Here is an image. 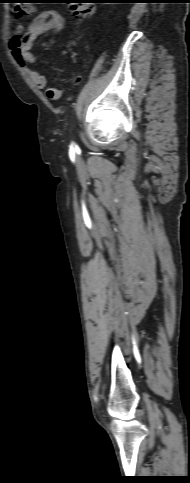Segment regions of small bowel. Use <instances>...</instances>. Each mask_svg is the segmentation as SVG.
<instances>
[{"mask_svg":"<svg viewBox=\"0 0 190 483\" xmlns=\"http://www.w3.org/2000/svg\"><path fill=\"white\" fill-rule=\"evenodd\" d=\"M64 28V18L57 11H42L33 19L25 31L20 28L16 29L8 44L14 61L26 71L34 85L39 88H46V95L53 100L60 98L62 90L58 86L47 87L48 76L29 66L38 60L31 50L35 41L43 33L47 31L58 33L63 31Z\"/></svg>","mask_w":190,"mask_h":483,"instance_id":"obj_1","label":"small bowel"}]
</instances>
